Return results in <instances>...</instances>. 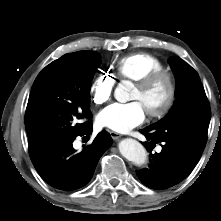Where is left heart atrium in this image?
Segmentation results:
<instances>
[{
  "label": "left heart atrium",
  "mask_w": 221,
  "mask_h": 221,
  "mask_svg": "<svg viewBox=\"0 0 221 221\" xmlns=\"http://www.w3.org/2000/svg\"><path fill=\"white\" fill-rule=\"evenodd\" d=\"M146 110L138 100L129 103H114L99 112L96 121L100 127L117 132H128L140 125Z\"/></svg>",
  "instance_id": "39dd6f15"
}]
</instances>
